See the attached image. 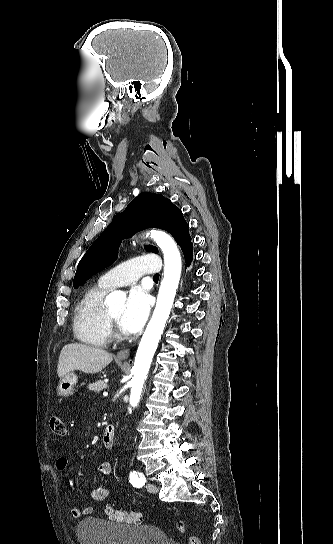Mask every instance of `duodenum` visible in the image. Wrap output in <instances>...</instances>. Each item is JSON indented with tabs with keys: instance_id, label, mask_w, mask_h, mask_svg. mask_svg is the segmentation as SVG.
<instances>
[{
	"instance_id": "obj_1",
	"label": "duodenum",
	"mask_w": 333,
	"mask_h": 544,
	"mask_svg": "<svg viewBox=\"0 0 333 544\" xmlns=\"http://www.w3.org/2000/svg\"><path fill=\"white\" fill-rule=\"evenodd\" d=\"M115 441V429L114 426L109 424L103 434L102 443L106 449H111Z\"/></svg>"
}]
</instances>
